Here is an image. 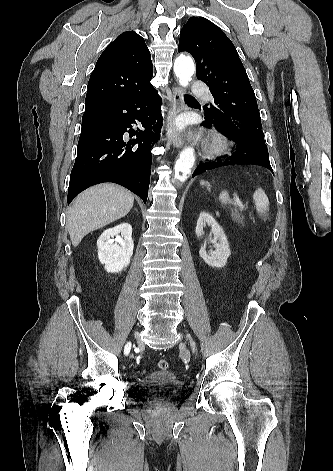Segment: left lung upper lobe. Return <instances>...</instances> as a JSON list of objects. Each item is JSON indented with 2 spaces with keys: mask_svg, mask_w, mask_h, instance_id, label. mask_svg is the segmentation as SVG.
<instances>
[{
  "mask_svg": "<svg viewBox=\"0 0 333 471\" xmlns=\"http://www.w3.org/2000/svg\"><path fill=\"white\" fill-rule=\"evenodd\" d=\"M178 51L197 62L198 79L214 97L205 115L244 142L265 144L255 93L230 39L212 22L191 17L180 32Z\"/></svg>",
  "mask_w": 333,
  "mask_h": 471,
  "instance_id": "5c2ea615",
  "label": "left lung upper lobe"
}]
</instances>
